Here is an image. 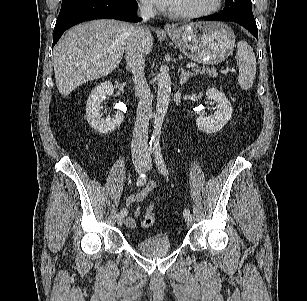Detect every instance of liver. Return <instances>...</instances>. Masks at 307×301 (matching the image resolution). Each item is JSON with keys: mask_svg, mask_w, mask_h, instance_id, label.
<instances>
[{"mask_svg": "<svg viewBox=\"0 0 307 301\" xmlns=\"http://www.w3.org/2000/svg\"><path fill=\"white\" fill-rule=\"evenodd\" d=\"M135 27L116 20H95L71 28L56 44L53 65L56 85L63 96L85 82L110 74L120 64ZM145 54L153 48L149 31Z\"/></svg>", "mask_w": 307, "mask_h": 301, "instance_id": "obj_1", "label": "liver"}]
</instances>
